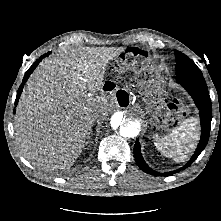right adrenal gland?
<instances>
[{
  "label": "right adrenal gland",
  "mask_w": 221,
  "mask_h": 221,
  "mask_svg": "<svg viewBox=\"0 0 221 221\" xmlns=\"http://www.w3.org/2000/svg\"><path fill=\"white\" fill-rule=\"evenodd\" d=\"M90 135H91V131L89 132L87 139H90ZM88 142L89 141H87L86 143H88Z\"/></svg>",
  "instance_id": "obj_1"
}]
</instances>
